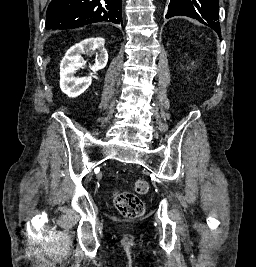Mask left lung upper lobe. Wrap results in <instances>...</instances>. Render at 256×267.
Instances as JSON below:
<instances>
[{"mask_svg":"<svg viewBox=\"0 0 256 267\" xmlns=\"http://www.w3.org/2000/svg\"><path fill=\"white\" fill-rule=\"evenodd\" d=\"M184 15L198 20L215 30L221 38L218 0H171L166 18Z\"/></svg>","mask_w":256,"mask_h":267,"instance_id":"obj_1","label":"left lung upper lobe"}]
</instances>
